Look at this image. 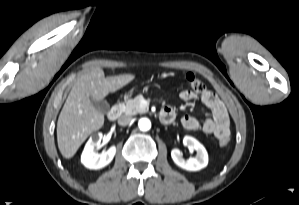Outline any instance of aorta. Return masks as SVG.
<instances>
[{"label":"aorta","instance_id":"aorta-1","mask_svg":"<svg viewBox=\"0 0 299 205\" xmlns=\"http://www.w3.org/2000/svg\"><path fill=\"white\" fill-rule=\"evenodd\" d=\"M138 127L141 131H148L151 128V122L148 118H141L138 122Z\"/></svg>","mask_w":299,"mask_h":205}]
</instances>
